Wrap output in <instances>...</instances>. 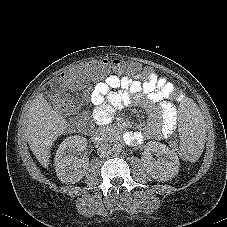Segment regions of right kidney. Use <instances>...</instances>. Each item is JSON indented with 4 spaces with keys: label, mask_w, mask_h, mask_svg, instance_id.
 <instances>
[{
    "label": "right kidney",
    "mask_w": 227,
    "mask_h": 227,
    "mask_svg": "<svg viewBox=\"0 0 227 227\" xmlns=\"http://www.w3.org/2000/svg\"><path fill=\"white\" fill-rule=\"evenodd\" d=\"M87 144L84 137L74 135L66 138L58 147L54 165L57 177L63 183H76L86 174L89 159L75 156L77 151H82Z\"/></svg>",
    "instance_id": "1"
}]
</instances>
